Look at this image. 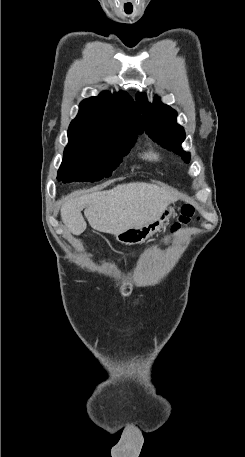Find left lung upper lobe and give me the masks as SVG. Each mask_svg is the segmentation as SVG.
I'll use <instances>...</instances> for the list:
<instances>
[{
    "label": "left lung upper lobe",
    "mask_w": 245,
    "mask_h": 457,
    "mask_svg": "<svg viewBox=\"0 0 245 457\" xmlns=\"http://www.w3.org/2000/svg\"><path fill=\"white\" fill-rule=\"evenodd\" d=\"M137 105L144 117L145 131L162 147L180 155L185 162L190 161V154L184 152L181 143L185 139L184 129L176 123L177 113L171 107L155 98L153 104L148 103L144 94L136 96Z\"/></svg>",
    "instance_id": "obj_1"
}]
</instances>
